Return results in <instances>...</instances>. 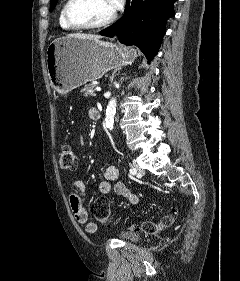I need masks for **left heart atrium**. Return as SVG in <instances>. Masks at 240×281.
I'll return each mask as SVG.
<instances>
[{
	"label": "left heart atrium",
	"mask_w": 240,
	"mask_h": 281,
	"mask_svg": "<svg viewBox=\"0 0 240 281\" xmlns=\"http://www.w3.org/2000/svg\"><path fill=\"white\" fill-rule=\"evenodd\" d=\"M109 2L114 10H117L123 4V0H109Z\"/></svg>",
	"instance_id": "obj_1"
}]
</instances>
